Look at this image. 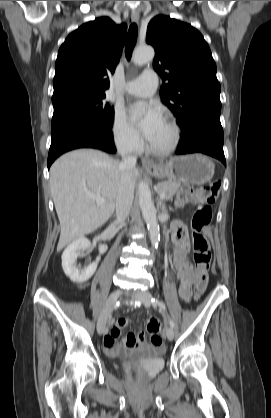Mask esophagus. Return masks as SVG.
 Segmentation results:
<instances>
[{
    "instance_id": "34e87169",
    "label": "esophagus",
    "mask_w": 271,
    "mask_h": 418,
    "mask_svg": "<svg viewBox=\"0 0 271 418\" xmlns=\"http://www.w3.org/2000/svg\"><path fill=\"white\" fill-rule=\"evenodd\" d=\"M131 19H132L133 22L138 23V21H139V12L137 10H133L132 11V13H131ZM142 164H143V166H146V167H152V166L155 165L152 160H150L148 158H145V157L142 158Z\"/></svg>"
}]
</instances>
